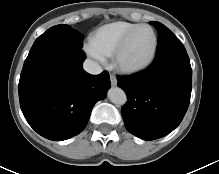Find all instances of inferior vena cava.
Masks as SVG:
<instances>
[{
	"instance_id": "1",
	"label": "inferior vena cava",
	"mask_w": 219,
	"mask_h": 174,
	"mask_svg": "<svg viewBox=\"0 0 219 174\" xmlns=\"http://www.w3.org/2000/svg\"><path fill=\"white\" fill-rule=\"evenodd\" d=\"M83 68L87 73L92 74V75H97L102 72L101 66L97 62L91 59H86L84 61Z\"/></svg>"
}]
</instances>
